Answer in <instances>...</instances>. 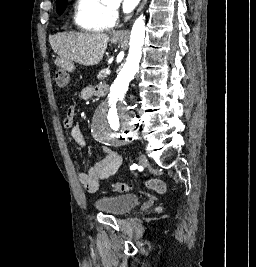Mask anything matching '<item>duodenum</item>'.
Masks as SVG:
<instances>
[{
    "label": "duodenum",
    "instance_id": "duodenum-1",
    "mask_svg": "<svg viewBox=\"0 0 256 267\" xmlns=\"http://www.w3.org/2000/svg\"><path fill=\"white\" fill-rule=\"evenodd\" d=\"M75 71V66H63L60 68V73H72ZM96 87H99V99H107L108 98V85L105 82H96Z\"/></svg>",
    "mask_w": 256,
    "mask_h": 267
}]
</instances>
